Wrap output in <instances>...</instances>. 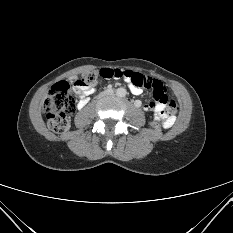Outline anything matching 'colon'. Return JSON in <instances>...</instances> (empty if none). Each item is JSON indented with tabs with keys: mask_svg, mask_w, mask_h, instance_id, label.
<instances>
[{
	"mask_svg": "<svg viewBox=\"0 0 233 233\" xmlns=\"http://www.w3.org/2000/svg\"><path fill=\"white\" fill-rule=\"evenodd\" d=\"M124 78L133 86L147 88L153 91V101L163 104L165 115L172 119L178 112V105L174 100H169L165 89L160 81H156L142 74L128 70L103 68L101 70L88 71L77 81L81 86H91L101 79ZM75 109V100L71 94L69 84L65 81L56 83L45 102V112L49 128L58 134L64 133L69 129V115ZM164 122L156 119L152 122V127L160 128Z\"/></svg>",
	"mask_w": 233,
	"mask_h": 233,
	"instance_id": "1",
	"label": "colon"
}]
</instances>
